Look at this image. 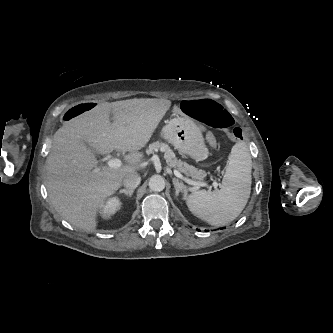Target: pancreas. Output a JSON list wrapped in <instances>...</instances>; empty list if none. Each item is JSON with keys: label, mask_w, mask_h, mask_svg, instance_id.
I'll return each instance as SVG.
<instances>
[{"label": "pancreas", "mask_w": 333, "mask_h": 333, "mask_svg": "<svg viewBox=\"0 0 333 333\" xmlns=\"http://www.w3.org/2000/svg\"><path fill=\"white\" fill-rule=\"evenodd\" d=\"M158 150L164 152V159L166 160V163L169 167L178 169L181 173L185 174L186 176H190L194 180L201 181L205 178V171L197 169L186 162L178 160L174 152L166 143H162L159 141L153 142L148 146L146 153L152 154Z\"/></svg>", "instance_id": "pancreas-1"}]
</instances>
